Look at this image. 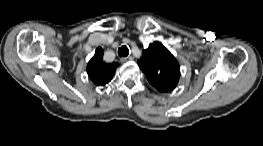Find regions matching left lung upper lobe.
<instances>
[{"mask_svg":"<svg viewBox=\"0 0 263 146\" xmlns=\"http://www.w3.org/2000/svg\"><path fill=\"white\" fill-rule=\"evenodd\" d=\"M138 66L150 84L160 92H171L178 84L180 66L162 43L155 41L143 50Z\"/></svg>","mask_w":263,"mask_h":146,"instance_id":"1","label":"left lung upper lobe"}]
</instances>
